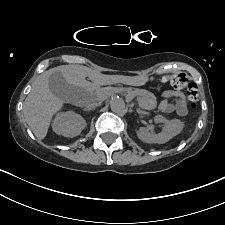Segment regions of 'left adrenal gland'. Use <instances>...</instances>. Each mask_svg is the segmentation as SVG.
Returning a JSON list of instances; mask_svg holds the SVG:
<instances>
[{
    "label": "left adrenal gland",
    "instance_id": "obj_1",
    "mask_svg": "<svg viewBox=\"0 0 225 225\" xmlns=\"http://www.w3.org/2000/svg\"><path fill=\"white\" fill-rule=\"evenodd\" d=\"M137 113L140 114V115L145 114V113H144L142 110H140V109H137Z\"/></svg>",
    "mask_w": 225,
    "mask_h": 225
}]
</instances>
